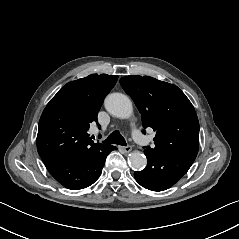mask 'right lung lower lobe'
<instances>
[{
  "label": "right lung lower lobe",
  "instance_id": "right-lung-lower-lobe-1",
  "mask_svg": "<svg viewBox=\"0 0 239 239\" xmlns=\"http://www.w3.org/2000/svg\"><path fill=\"white\" fill-rule=\"evenodd\" d=\"M117 148L103 145L86 154L44 160L50 174L64 187L79 190L92 185L100 176L107 155Z\"/></svg>",
  "mask_w": 239,
  "mask_h": 239
}]
</instances>
